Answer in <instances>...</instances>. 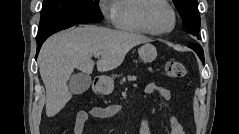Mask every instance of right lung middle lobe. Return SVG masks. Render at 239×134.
<instances>
[{"instance_id":"dd1d6c3e","label":"right lung middle lobe","mask_w":239,"mask_h":134,"mask_svg":"<svg viewBox=\"0 0 239 134\" xmlns=\"http://www.w3.org/2000/svg\"><path fill=\"white\" fill-rule=\"evenodd\" d=\"M99 0H44L36 38L72 23H98L103 15Z\"/></svg>"}]
</instances>
